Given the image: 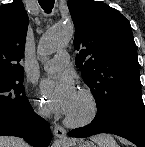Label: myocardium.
I'll list each match as a JSON object with an SVG mask.
<instances>
[{
  "label": "myocardium",
  "instance_id": "obj_1",
  "mask_svg": "<svg viewBox=\"0 0 145 147\" xmlns=\"http://www.w3.org/2000/svg\"><path fill=\"white\" fill-rule=\"evenodd\" d=\"M79 95L86 101L87 103V111L84 115L80 117H71L67 116L65 118V124L70 127H84L91 124L99 113V104L95 97V95L88 89H81L79 91Z\"/></svg>",
  "mask_w": 145,
  "mask_h": 147
}]
</instances>
